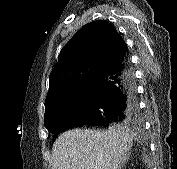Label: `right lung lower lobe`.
<instances>
[{
    "label": "right lung lower lobe",
    "mask_w": 177,
    "mask_h": 169,
    "mask_svg": "<svg viewBox=\"0 0 177 169\" xmlns=\"http://www.w3.org/2000/svg\"><path fill=\"white\" fill-rule=\"evenodd\" d=\"M92 81L95 92L90 104L65 121L54 132L53 141L61 132L72 127H107L113 122L138 119L136 82L128 52L100 70Z\"/></svg>",
    "instance_id": "right-lung-lower-lobe-1"
}]
</instances>
